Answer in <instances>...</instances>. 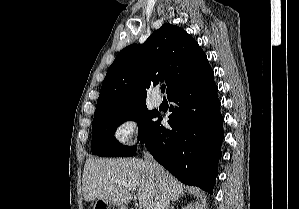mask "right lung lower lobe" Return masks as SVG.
Segmentation results:
<instances>
[{
  "label": "right lung lower lobe",
  "instance_id": "98d812e1",
  "mask_svg": "<svg viewBox=\"0 0 299 209\" xmlns=\"http://www.w3.org/2000/svg\"><path fill=\"white\" fill-rule=\"evenodd\" d=\"M167 96L176 104L170 108L171 129L159 117L141 143L181 182L212 193L224 138L214 73L186 79Z\"/></svg>",
  "mask_w": 299,
  "mask_h": 209
}]
</instances>
